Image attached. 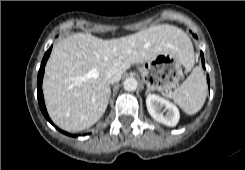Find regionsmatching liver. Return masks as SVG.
I'll list each match as a JSON object with an SVG mask.
<instances>
[{"instance_id": "1", "label": "liver", "mask_w": 245, "mask_h": 170, "mask_svg": "<svg viewBox=\"0 0 245 170\" xmlns=\"http://www.w3.org/2000/svg\"><path fill=\"white\" fill-rule=\"evenodd\" d=\"M173 52L189 70L192 45L178 27L162 24L125 37L103 40L76 33L55 44L45 67L43 93L52 121L66 131H82L104 114L110 83L105 72L117 68L123 75L131 64Z\"/></svg>"}]
</instances>
